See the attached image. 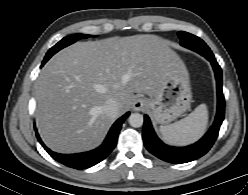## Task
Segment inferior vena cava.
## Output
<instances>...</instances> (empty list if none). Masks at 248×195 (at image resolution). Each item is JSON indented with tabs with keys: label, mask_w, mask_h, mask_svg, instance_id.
<instances>
[{
	"label": "inferior vena cava",
	"mask_w": 248,
	"mask_h": 195,
	"mask_svg": "<svg viewBox=\"0 0 248 195\" xmlns=\"http://www.w3.org/2000/svg\"><path fill=\"white\" fill-rule=\"evenodd\" d=\"M103 112L109 117H117L119 112L118 102L114 99L107 100L103 106Z\"/></svg>",
	"instance_id": "obj_1"
}]
</instances>
